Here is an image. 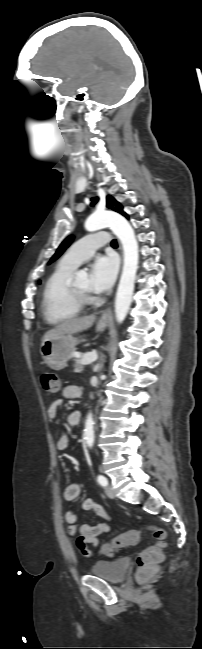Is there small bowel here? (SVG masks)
<instances>
[{
  "mask_svg": "<svg viewBox=\"0 0 202 649\" xmlns=\"http://www.w3.org/2000/svg\"><path fill=\"white\" fill-rule=\"evenodd\" d=\"M81 389L76 385H67L63 390V397L65 399H75L80 397ZM63 400H55L48 408V417L54 419L57 415L59 406L62 404ZM81 413L79 410H73L67 418L68 424L71 428L77 426L80 422ZM69 437L64 433L57 442V448L60 450L65 449L68 446ZM80 485L76 482L69 483L63 492V497L67 502L74 501L78 498L80 494ZM82 508L86 511H93L97 516L104 519H109L108 514L104 508L94 502L91 499H87L83 502ZM65 521L68 524V533L71 536H76L75 544L82 554L86 558L92 556V551L89 549V545H93L95 549L99 548L100 542L98 536L104 533L110 532V525L107 522H99L97 524H78V515L72 510L65 512Z\"/></svg>",
  "mask_w": 202,
  "mask_h": 649,
  "instance_id": "small-bowel-1",
  "label": "small bowel"
}]
</instances>
